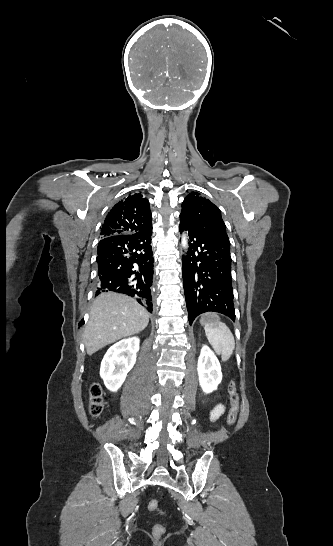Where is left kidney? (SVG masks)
Masks as SVG:
<instances>
[{
  "instance_id": "5707ae66",
  "label": "left kidney",
  "mask_w": 333,
  "mask_h": 546,
  "mask_svg": "<svg viewBox=\"0 0 333 546\" xmlns=\"http://www.w3.org/2000/svg\"><path fill=\"white\" fill-rule=\"evenodd\" d=\"M197 371L202 390L210 393L222 380L220 363L207 345H203L198 358Z\"/></svg>"
}]
</instances>
